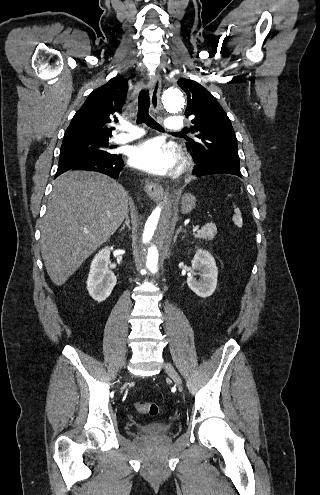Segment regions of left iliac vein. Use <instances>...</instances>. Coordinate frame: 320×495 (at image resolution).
Listing matches in <instances>:
<instances>
[{
	"mask_svg": "<svg viewBox=\"0 0 320 495\" xmlns=\"http://www.w3.org/2000/svg\"><path fill=\"white\" fill-rule=\"evenodd\" d=\"M164 369L168 376L171 377L175 384L180 388L182 386V381L174 367L169 363H165Z\"/></svg>",
	"mask_w": 320,
	"mask_h": 495,
	"instance_id": "4c4485c4",
	"label": "left iliac vein"
}]
</instances>
